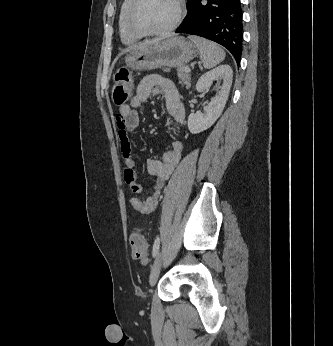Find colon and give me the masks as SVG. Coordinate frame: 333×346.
I'll return each mask as SVG.
<instances>
[{
    "label": "colon",
    "mask_w": 333,
    "mask_h": 346,
    "mask_svg": "<svg viewBox=\"0 0 333 346\" xmlns=\"http://www.w3.org/2000/svg\"><path fill=\"white\" fill-rule=\"evenodd\" d=\"M132 83L130 72L126 68H121L114 77L113 101L116 105H124L130 98ZM130 248L134 259L141 263H147V241L141 231H136L130 236Z\"/></svg>",
    "instance_id": "5ec220e1"
}]
</instances>
